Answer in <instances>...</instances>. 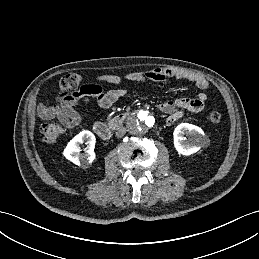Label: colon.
I'll return each mask as SVG.
<instances>
[{
    "label": "colon",
    "mask_w": 259,
    "mask_h": 259,
    "mask_svg": "<svg viewBox=\"0 0 259 259\" xmlns=\"http://www.w3.org/2000/svg\"><path fill=\"white\" fill-rule=\"evenodd\" d=\"M83 83V77L77 73H69L61 78L59 82V96L65 97L76 92ZM221 114L212 111L209 114V122L218 125L221 122ZM43 140L47 143L56 142L64 133V126L58 122H46L41 126Z\"/></svg>",
    "instance_id": "5ec220e1"
}]
</instances>
